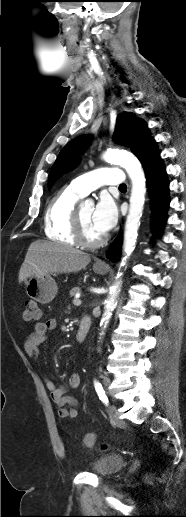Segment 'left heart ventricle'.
<instances>
[{"instance_id": "obj_1", "label": "left heart ventricle", "mask_w": 186, "mask_h": 517, "mask_svg": "<svg viewBox=\"0 0 186 517\" xmlns=\"http://www.w3.org/2000/svg\"><path fill=\"white\" fill-rule=\"evenodd\" d=\"M94 208L92 206L82 207L79 212L84 226L85 234L92 239L98 238L103 234L95 229L92 223V214Z\"/></svg>"}]
</instances>
